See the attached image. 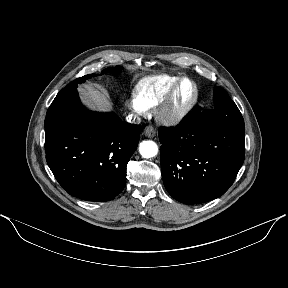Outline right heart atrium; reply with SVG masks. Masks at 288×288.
Instances as JSON below:
<instances>
[{"mask_svg": "<svg viewBox=\"0 0 288 288\" xmlns=\"http://www.w3.org/2000/svg\"><path fill=\"white\" fill-rule=\"evenodd\" d=\"M127 107L138 115H145L148 108L139 100L136 94H130L126 100Z\"/></svg>", "mask_w": 288, "mask_h": 288, "instance_id": "d8ad5b80", "label": "right heart atrium"}]
</instances>
